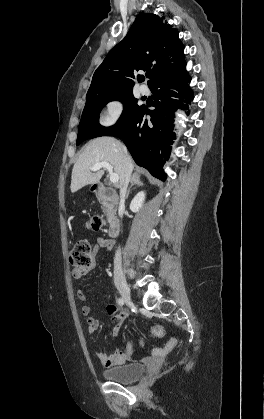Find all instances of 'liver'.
<instances>
[{"mask_svg":"<svg viewBox=\"0 0 264 419\" xmlns=\"http://www.w3.org/2000/svg\"><path fill=\"white\" fill-rule=\"evenodd\" d=\"M125 146L112 137H99L90 141L83 153L73 166L71 175V192H77L89 184H96L104 174V170L92 172L91 168L99 162H108L119 176L118 186L121 188L125 181ZM128 158L132 164L130 155Z\"/></svg>","mask_w":264,"mask_h":419,"instance_id":"liver-1","label":"liver"}]
</instances>
